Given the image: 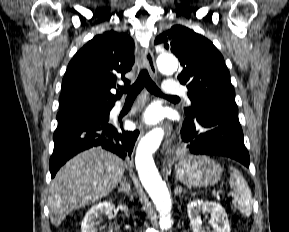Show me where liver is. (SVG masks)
<instances>
[{"label":"liver","mask_w":289,"mask_h":232,"mask_svg":"<svg viewBox=\"0 0 289 232\" xmlns=\"http://www.w3.org/2000/svg\"><path fill=\"white\" fill-rule=\"evenodd\" d=\"M124 161L94 147L69 160L51 182L48 196L50 219L55 227L73 210L108 196L121 182Z\"/></svg>","instance_id":"1"}]
</instances>
